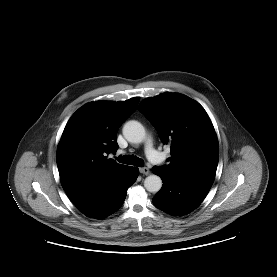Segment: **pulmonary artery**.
<instances>
[{"mask_svg": "<svg viewBox=\"0 0 277 277\" xmlns=\"http://www.w3.org/2000/svg\"><path fill=\"white\" fill-rule=\"evenodd\" d=\"M145 152L148 159L152 163H161L162 156L161 154L153 147L152 140L149 138L146 142Z\"/></svg>", "mask_w": 277, "mask_h": 277, "instance_id": "e3ab8cb5", "label": "pulmonary artery"}]
</instances>
